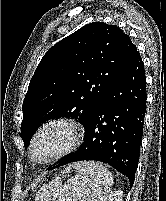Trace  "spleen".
<instances>
[{"mask_svg": "<svg viewBox=\"0 0 166 201\" xmlns=\"http://www.w3.org/2000/svg\"><path fill=\"white\" fill-rule=\"evenodd\" d=\"M77 174L63 185L58 178L43 186L38 194L39 201H103L111 191L113 179L111 173L100 163L79 161L68 166L62 173Z\"/></svg>", "mask_w": 166, "mask_h": 201, "instance_id": "3e777b00", "label": "spleen"}]
</instances>
